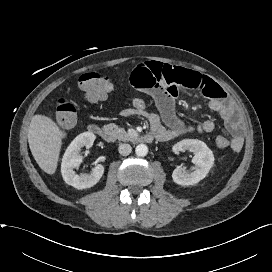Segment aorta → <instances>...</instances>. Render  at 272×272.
Instances as JSON below:
<instances>
[{
    "instance_id": "aorta-1",
    "label": "aorta",
    "mask_w": 272,
    "mask_h": 272,
    "mask_svg": "<svg viewBox=\"0 0 272 272\" xmlns=\"http://www.w3.org/2000/svg\"><path fill=\"white\" fill-rule=\"evenodd\" d=\"M135 153L137 156H146L148 153V147L145 144H139L135 148Z\"/></svg>"
}]
</instances>
